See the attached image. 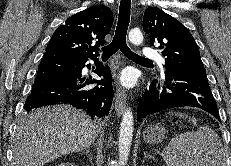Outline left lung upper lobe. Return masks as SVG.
<instances>
[{
    "label": "left lung upper lobe",
    "mask_w": 231,
    "mask_h": 166,
    "mask_svg": "<svg viewBox=\"0 0 231 166\" xmlns=\"http://www.w3.org/2000/svg\"><path fill=\"white\" fill-rule=\"evenodd\" d=\"M143 29L150 35L151 44L163 49L165 69L206 72L193 36L174 17L149 7L144 12Z\"/></svg>",
    "instance_id": "left-lung-upper-lobe-1"
}]
</instances>
